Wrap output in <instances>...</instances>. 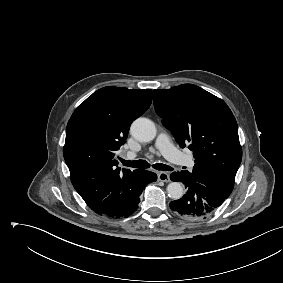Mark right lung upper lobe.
I'll list each match as a JSON object with an SVG mask.
<instances>
[{"label": "right lung upper lobe", "instance_id": "1", "mask_svg": "<svg viewBox=\"0 0 283 283\" xmlns=\"http://www.w3.org/2000/svg\"><path fill=\"white\" fill-rule=\"evenodd\" d=\"M151 101L150 89L107 86L79 105L67 124L63 155L71 181L97 214L116 209L136 191L139 170L118 167L115 152Z\"/></svg>", "mask_w": 283, "mask_h": 283}]
</instances>
